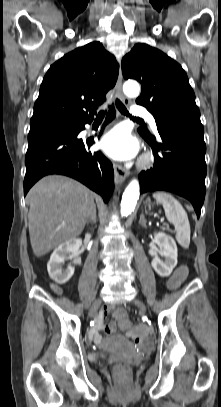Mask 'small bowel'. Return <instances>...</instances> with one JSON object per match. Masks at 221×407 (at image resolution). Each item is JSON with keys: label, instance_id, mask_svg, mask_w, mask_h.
Returning a JSON list of instances; mask_svg holds the SVG:
<instances>
[{"label": "small bowel", "instance_id": "small-bowel-1", "mask_svg": "<svg viewBox=\"0 0 221 407\" xmlns=\"http://www.w3.org/2000/svg\"><path fill=\"white\" fill-rule=\"evenodd\" d=\"M113 310V307L108 306L102 309L96 319L95 327L90 331L89 337L90 339L99 344L102 340L100 331H105L106 333H114L117 330V324L114 321H110L109 323H105V319L109 315V313ZM117 309L114 311V317L116 319ZM125 331V330H124Z\"/></svg>", "mask_w": 221, "mask_h": 407}]
</instances>
